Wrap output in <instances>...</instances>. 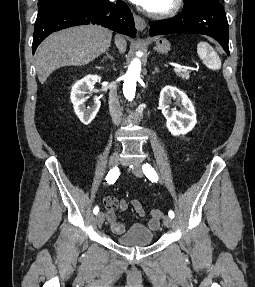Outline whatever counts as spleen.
Instances as JSON below:
<instances>
[{
	"label": "spleen",
	"mask_w": 255,
	"mask_h": 287,
	"mask_svg": "<svg viewBox=\"0 0 255 287\" xmlns=\"http://www.w3.org/2000/svg\"><path fill=\"white\" fill-rule=\"evenodd\" d=\"M198 52L202 54L203 62L207 68H210V70H220L221 60L212 46H209L207 42H201L198 46Z\"/></svg>",
	"instance_id": "obj_1"
}]
</instances>
